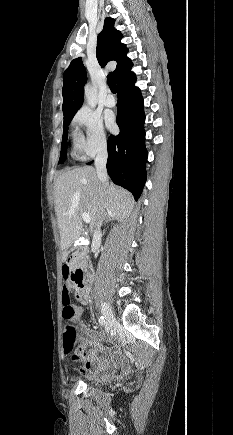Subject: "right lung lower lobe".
I'll return each mask as SVG.
<instances>
[{
	"label": "right lung lower lobe",
	"instance_id": "right-lung-lower-lobe-1",
	"mask_svg": "<svg viewBox=\"0 0 233 435\" xmlns=\"http://www.w3.org/2000/svg\"><path fill=\"white\" fill-rule=\"evenodd\" d=\"M135 82L134 73L117 82L116 122L120 133L108 139L107 172L115 184L129 190L138 200L146 182L147 151L143 98Z\"/></svg>",
	"mask_w": 233,
	"mask_h": 435
}]
</instances>
